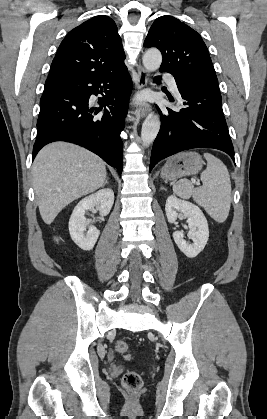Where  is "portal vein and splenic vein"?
<instances>
[{
  "label": "portal vein and splenic vein",
  "instance_id": "18ae733b",
  "mask_svg": "<svg viewBox=\"0 0 267 419\" xmlns=\"http://www.w3.org/2000/svg\"><path fill=\"white\" fill-rule=\"evenodd\" d=\"M195 184H196L197 186H199V185H200V183H199V182H196Z\"/></svg>",
  "mask_w": 267,
  "mask_h": 419
}]
</instances>
